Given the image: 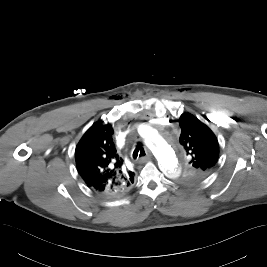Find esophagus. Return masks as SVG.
<instances>
[{"instance_id": "obj_1", "label": "esophagus", "mask_w": 267, "mask_h": 267, "mask_svg": "<svg viewBox=\"0 0 267 267\" xmlns=\"http://www.w3.org/2000/svg\"><path fill=\"white\" fill-rule=\"evenodd\" d=\"M149 160H150V156H144V157H141L139 161L140 162H147Z\"/></svg>"}]
</instances>
